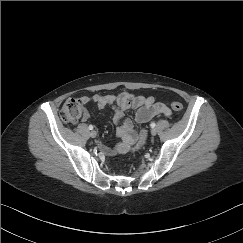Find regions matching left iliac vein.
<instances>
[{
    "label": "left iliac vein",
    "mask_w": 243,
    "mask_h": 243,
    "mask_svg": "<svg viewBox=\"0 0 243 243\" xmlns=\"http://www.w3.org/2000/svg\"><path fill=\"white\" fill-rule=\"evenodd\" d=\"M156 133H157V130L154 129V128H152V129H151V134H152V135H156Z\"/></svg>",
    "instance_id": "4c4485c4"
}]
</instances>
